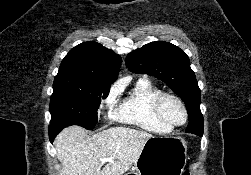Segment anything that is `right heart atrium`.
Here are the masks:
<instances>
[{"label":"right heart atrium","mask_w":251,"mask_h":175,"mask_svg":"<svg viewBox=\"0 0 251 175\" xmlns=\"http://www.w3.org/2000/svg\"><path fill=\"white\" fill-rule=\"evenodd\" d=\"M119 91L116 86H112L106 96L101 100L100 109L106 113L110 119L115 117V107L118 102Z\"/></svg>","instance_id":"d8ad5b80"}]
</instances>
